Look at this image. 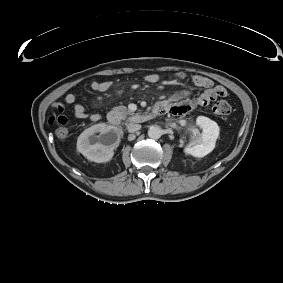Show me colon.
<instances>
[{
	"label": "colon",
	"mask_w": 283,
	"mask_h": 283,
	"mask_svg": "<svg viewBox=\"0 0 283 283\" xmlns=\"http://www.w3.org/2000/svg\"><path fill=\"white\" fill-rule=\"evenodd\" d=\"M212 111L215 115L217 116H227L230 114L231 112V106L229 105V103L225 100H219L217 101L213 107H212ZM59 121V120H58ZM62 125L57 128L56 130V136L61 139L64 140L68 137L69 135V130L68 128L65 126L67 120L64 119L62 121H59Z\"/></svg>",
	"instance_id": "1"
}]
</instances>
